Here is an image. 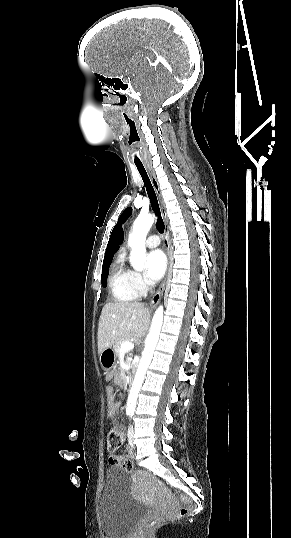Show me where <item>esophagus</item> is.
I'll use <instances>...</instances> for the list:
<instances>
[{
    "instance_id": "34e87169",
    "label": "esophagus",
    "mask_w": 291,
    "mask_h": 538,
    "mask_svg": "<svg viewBox=\"0 0 291 538\" xmlns=\"http://www.w3.org/2000/svg\"><path fill=\"white\" fill-rule=\"evenodd\" d=\"M147 170H148V173H149V176H150L152 186H153L154 191L156 193L158 203H159V207H160L162 217H163V220H164V224H165L164 244H165V247H166V254H167V270H166V274H165V276H164L158 290L156 291V293L154 294V296L152 297V299L150 301V306L155 307L158 304V302L160 301V298H161V296L163 294V291L165 289L167 279H168V276H169V270H170V266H171V243H170L169 219H168V214H167V210H166V207H165V203H164V200L162 198L161 190H160L158 181H157V179L155 177V174H154V172L152 171V169H151V167L149 165H147Z\"/></svg>"
}]
</instances>
